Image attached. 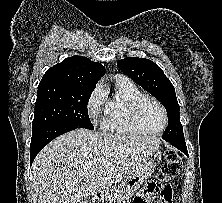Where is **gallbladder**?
Returning <instances> with one entry per match:
<instances>
[{"label": "gallbladder", "mask_w": 222, "mask_h": 203, "mask_svg": "<svg viewBox=\"0 0 222 203\" xmlns=\"http://www.w3.org/2000/svg\"><path fill=\"white\" fill-rule=\"evenodd\" d=\"M81 203H91V200L89 198H85L81 201Z\"/></svg>", "instance_id": "obj_1"}]
</instances>
